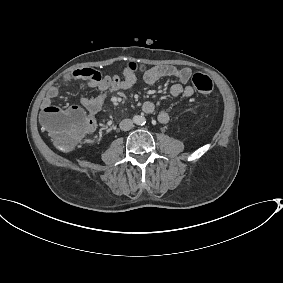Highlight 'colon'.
I'll return each mask as SVG.
<instances>
[{"label": "colon", "mask_w": 283, "mask_h": 283, "mask_svg": "<svg viewBox=\"0 0 283 283\" xmlns=\"http://www.w3.org/2000/svg\"><path fill=\"white\" fill-rule=\"evenodd\" d=\"M128 68L133 72L141 69L134 63H130ZM192 83L203 94H208L213 89L212 80L202 73L194 74ZM40 119L45 130L65 150L82 142L93 129L92 119L76 107L66 110L50 107L43 111Z\"/></svg>", "instance_id": "obj_1"}]
</instances>
